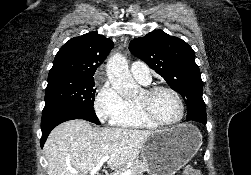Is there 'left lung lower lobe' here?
Returning <instances> with one entry per match:
<instances>
[{
    "label": "left lung lower lobe",
    "instance_id": "1",
    "mask_svg": "<svg viewBox=\"0 0 251 175\" xmlns=\"http://www.w3.org/2000/svg\"><path fill=\"white\" fill-rule=\"evenodd\" d=\"M188 109V116L187 121H196L201 122L203 124H206L207 121V115H206V108L205 104H187Z\"/></svg>",
    "mask_w": 251,
    "mask_h": 175
}]
</instances>
